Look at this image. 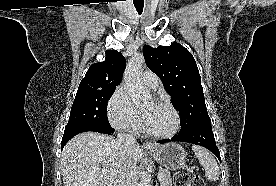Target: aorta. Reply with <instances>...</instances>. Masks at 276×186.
Returning <instances> with one entry per match:
<instances>
[{
    "instance_id": "1",
    "label": "aorta",
    "mask_w": 276,
    "mask_h": 186,
    "mask_svg": "<svg viewBox=\"0 0 276 186\" xmlns=\"http://www.w3.org/2000/svg\"><path fill=\"white\" fill-rule=\"evenodd\" d=\"M144 63L142 54L133 56L126 65L124 72L125 87L135 104L150 99L142 84L141 69ZM139 186H151V173L143 171L140 177Z\"/></svg>"
}]
</instances>
